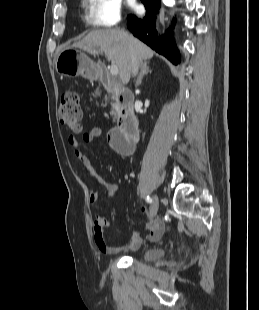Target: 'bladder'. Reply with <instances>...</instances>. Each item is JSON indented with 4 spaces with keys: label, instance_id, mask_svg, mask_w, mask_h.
<instances>
[{
    "label": "bladder",
    "instance_id": "1",
    "mask_svg": "<svg viewBox=\"0 0 259 310\" xmlns=\"http://www.w3.org/2000/svg\"><path fill=\"white\" fill-rule=\"evenodd\" d=\"M166 252L160 247H146L140 253V258L143 261H155L162 259Z\"/></svg>",
    "mask_w": 259,
    "mask_h": 310
}]
</instances>
